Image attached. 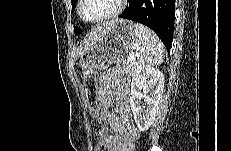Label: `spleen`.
<instances>
[{
	"instance_id": "3e777b00",
	"label": "spleen",
	"mask_w": 231,
	"mask_h": 151,
	"mask_svg": "<svg viewBox=\"0 0 231 151\" xmlns=\"http://www.w3.org/2000/svg\"><path fill=\"white\" fill-rule=\"evenodd\" d=\"M137 66H158L164 60V46L159 37L142 24L135 25Z\"/></svg>"
}]
</instances>
